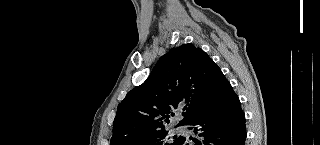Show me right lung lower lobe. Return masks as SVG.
<instances>
[{
  "instance_id": "obj_1",
  "label": "right lung lower lobe",
  "mask_w": 320,
  "mask_h": 145,
  "mask_svg": "<svg viewBox=\"0 0 320 145\" xmlns=\"http://www.w3.org/2000/svg\"><path fill=\"white\" fill-rule=\"evenodd\" d=\"M213 93L209 107L186 124L202 138L196 140L182 137L179 145H244L245 115L239 98L224 75L217 82Z\"/></svg>"
}]
</instances>
